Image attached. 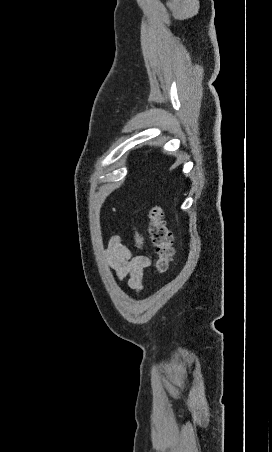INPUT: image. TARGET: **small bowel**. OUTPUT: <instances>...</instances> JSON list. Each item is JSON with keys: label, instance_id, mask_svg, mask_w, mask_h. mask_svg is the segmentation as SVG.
Returning <instances> with one entry per match:
<instances>
[{"label": "small bowel", "instance_id": "small-bowel-1", "mask_svg": "<svg viewBox=\"0 0 272 452\" xmlns=\"http://www.w3.org/2000/svg\"><path fill=\"white\" fill-rule=\"evenodd\" d=\"M143 243L141 235L136 233V246L142 249ZM104 258L117 279H127V285L133 291L141 289L144 270L150 265V259L147 255L132 256L130 249L122 242V239L118 235H114L108 241Z\"/></svg>", "mask_w": 272, "mask_h": 452}]
</instances>
